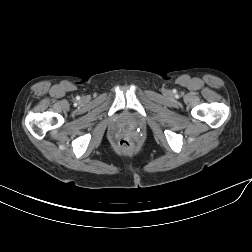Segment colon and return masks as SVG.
Instances as JSON below:
<instances>
[{
	"label": "colon",
	"mask_w": 252,
	"mask_h": 252,
	"mask_svg": "<svg viewBox=\"0 0 252 252\" xmlns=\"http://www.w3.org/2000/svg\"><path fill=\"white\" fill-rule=\"evenodd\" d=\"M134 143L131 139L121 138L117 143V148L120 152L129 153L134 150Z\"/></svg>",
	"instance_id": "obj_1"
}]
</instances>
